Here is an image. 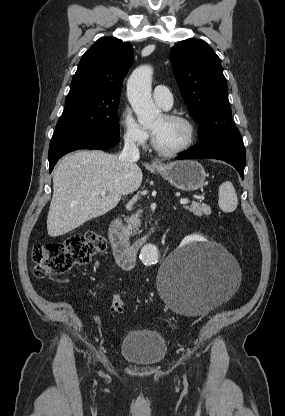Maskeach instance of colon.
<instances>
[{
    "instance_id": "obj_1",
    "label": "colon",
    "mask_w": 285,
    "mask_h": 416,
    "mask_svg": "<svg viewBox=\"0 0 285 416\" xmlns=\"http://www.w3.org/2000/svg\"><path fill=\"white\" fill-rule=\"evenodd\" d=\"M105 247V239L95 231L72 235L62 242L36 244L32 249L34 274L38 278L65 274L74 266L88 264ZM111 309L123 312L124 302L120 296L113 297Z\"/></svg>"
}]
</instances>
